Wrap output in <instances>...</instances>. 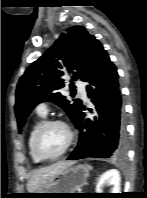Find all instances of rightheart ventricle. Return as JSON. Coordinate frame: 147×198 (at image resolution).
<instances>
[{"instance_id":"right-heart-ventricle-1","label":"right heart ventricle","mask_w":147,"mask_h":198,"mask_svg":"<svg viewBox=\"0 0 147 198\" xmlns=\"http://www.w3.org/2000/svg\"><path fill=\"white\" fill-rule=\"evenodd\" d=\"M45 116L44 115H39V117L37 118V120L32 124L29 132H28V137H27V146H28V152L30 155L31 160L34 163H41L43 160L40 159L34 152L33 150V138L34 135L36 133V131L38 130V128L45 122L44 121Z\"/></svg>"}]
</instances>
